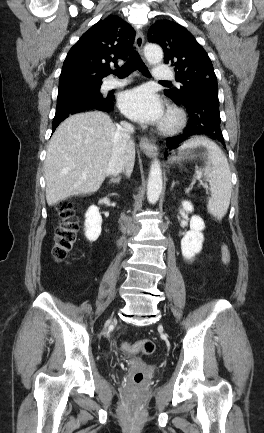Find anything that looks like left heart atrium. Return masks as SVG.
I'll return each instance as SVG.
<instances>
[{
    "label": "left heart atrium",
    "instance_id": "1",
    "mask_svg": "<svg viewBox=\"0 0 264 433\" xmlns=\"http://www.w3.org/2000/svg\"><path fill=\"white\" fill-rule=\"evenodd\" d=\"M119 108L130 119L141 123H154L163 118L160 98L148 87L128 90L119 97Z\"/></svg>",
    "mask_w": 264,
    "mask_h": 433
}]
</instances>
